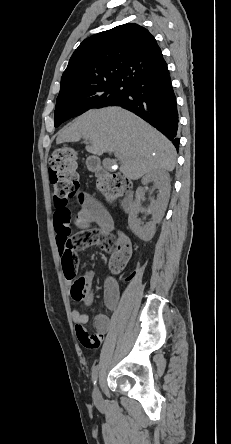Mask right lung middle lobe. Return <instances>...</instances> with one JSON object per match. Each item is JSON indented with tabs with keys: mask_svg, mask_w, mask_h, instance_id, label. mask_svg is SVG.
I'll use <instances>...</instances> for the list:
<instances>
[{
	"mask_svg": "<svg viewBox=\"0 0 231 444\" xmlns=\"http://www.w3.org/2000/svg\"><path fill=\"white\" fill-rule=\"evenodd\" d=\"M129 90L130 85L111 83L60 93L54 113L55 127L89 109L113 105L125 99Z\"/></svg>",
	"mask_w": 231,
	"mask_h": 444,
	"instance_id": "1",
	"label": "right lung middle lobe"
}]
</instances>
